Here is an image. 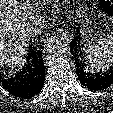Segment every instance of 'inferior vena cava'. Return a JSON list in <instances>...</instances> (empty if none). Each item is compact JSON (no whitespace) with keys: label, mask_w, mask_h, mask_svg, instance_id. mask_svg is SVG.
Segmentation results:
<instances>
[{"label":"inferior vena cava","mask_w":113,"mask_h":113,"mask_svg":"<svg viewBox=\"0 0 113 113\" xmlns=\"http://www.w3.org/2000/svg\"><path fill=\"white\" fill-rule=\"evenodd\" d=\"M46 27V21L42 16H33L28 24V33L30 35H38Z\"/></svg>","instance_id":"obj_1"}]
</instances>
